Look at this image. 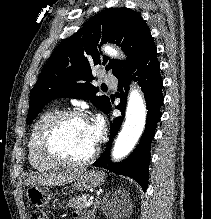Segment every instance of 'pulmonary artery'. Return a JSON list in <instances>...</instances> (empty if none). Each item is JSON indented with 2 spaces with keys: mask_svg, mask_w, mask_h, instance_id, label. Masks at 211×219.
Returning a JSON list of instances; mask_svg holds the SVG:
<instances>
[{
  "mask_svg": "<svg viewBox=\"0 0 211 219\" xmlns=\"http://www.w3.org/2000/svg\"><path fill=\"white\" fill-rule=\"evenodd\" d=\"M104 81L108 86H110L112 88L116 87L117 80L114 77L107 76V77H105Z\"/></svg>",
  "mask_w": 211,
  "mask_h": 219,
  "instance_id": "pulmonary-artery-1",
  "label": "pulmonary artery"
}]
</instances>
